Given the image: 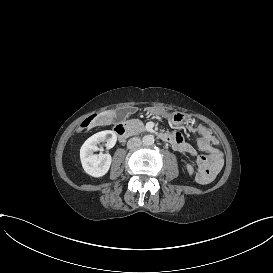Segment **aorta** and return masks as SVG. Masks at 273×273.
<instances>
[{"label": "aorta", "instance_id": "762f6f07", "mask_svg": "<svg viewBox=\"0 0 273 273\" xmlns=\"http://www.w3.org/2000/svg\"><path fill=\"white\" fill-rule=\"evenodd\" d=\"M142 142L146 146H150L154 144V136L153 135H145L142 139Z\"/></svg>", "mask_w": 273, "mask_h": 273}]
</instances>
